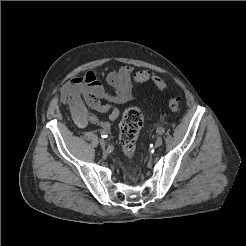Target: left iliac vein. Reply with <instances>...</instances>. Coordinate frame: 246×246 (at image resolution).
Masks as SVG:
<instances>
[{"instance_id":"4c4485c4","label":"left iliac vein","mask_w":246,"mask_h":246,"mask_svg":"<svg viewBox=\"0 0 246 246\" xmlns=\"http://www.w3.org/2000/svg\"><path fill=\"white\" fill-rule=\"evenodd\" d=\"M162 143H163V139L162 137L159 136L155 141V147H160Z\"/></svg>"}]
</instances>
